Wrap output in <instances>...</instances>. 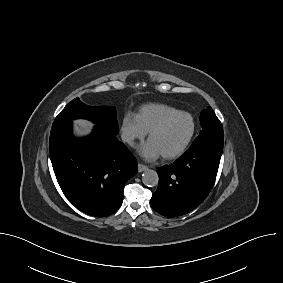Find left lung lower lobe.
Wrapping results in <instances>:
<instances>
[{
  "instance_id": "1",
  "label": "left lung lower lobe",
  "mask_w": 283,
  "mask_h": 283,
  "mask_svg": "<svg viewBox=\"0 0 283 283\" xmlns=\"http://www.w3.org/2000/svg\"><path fill=\"white\" fill-rule=\"evenodd\" d=\"M222 150L209 145L190 147L174 164L157 168L159 184L150 205L159 214L177 217L201 204L211 191Z\"/></svg>"
}]
</instances>
